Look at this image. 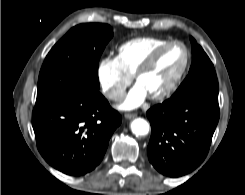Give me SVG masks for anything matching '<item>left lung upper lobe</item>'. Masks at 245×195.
Wrapping results in <instances>:
<instances>
[{
    "label": "left lung upper lobe",
    "mask_w": 245,
    "mask_h": 195,
    "mask_svg": "<svg viewBox=\"0 0 245 195\" xmlns=\"http://www.w3.org/2000/svg\"><path fill=\"white\" fill-rule=\"evenodd\" d=\"M192 44V65L188 76L171 96L176 100H207L218 103V80L214 66L194 38Z\"/></svg>",
    "instance_id": "5c2ea615"
}]
</instances>
